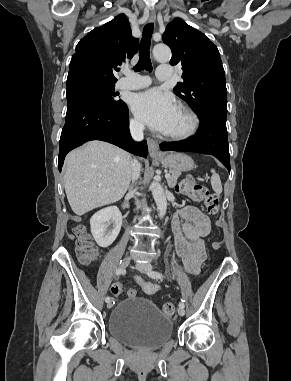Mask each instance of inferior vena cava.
<instances>
[{
	"instance_id": "1",
	"label": "inferior vena cava",
	"mask_w": 291,
	"mask_h": 381,
	"mask_svg": "<svg viewBox=\"0 0 291 381\" xmlns=\"http://www.w3.org/2000/svg\"><path fill=\"white\" fill-rule=\"evenodd\" d=\"M129 128H130L131 136L134 140L136 141L143 140L144 125L142 123H139L137 121H131ZM131 170H132L131 171L132 181H135L139 178L140 171H141V165L137 160H134L131 162ZM133 192H135V190ZM138 203L139 202L137 201V205L139 207Z\"/></svg>"
}]
</instances>
